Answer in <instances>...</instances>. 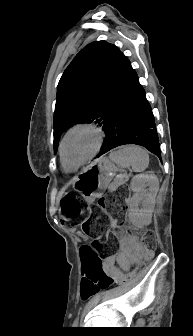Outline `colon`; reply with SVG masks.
<instances>
[{
	"instance_id": "1",
	"label": "colon",
	"mask_w": 193,
	"mask_h": 336,
	"mask_svg": "<svg viewBox=\"0 0 193 336\" xmlns=\"http://www.w3.org/2000/svg\"><path fill=\"white\" fill-rule=\"evenodd\" d=\"M62 213L67 226L80 224L84 234L93 236L91 246L82 253L83 269L86 273V283L96 289H106L115 283H127L131 277L116 278L108 275L103 268V260L114 252L118 246L116 235L109 231L110 225H115L122 217L125 207L117 200H107L100 197L92 207L84 204L76 194L67 193L61 201ZM81 218H83L82 221ZM145 257L154 255L157 242L155 234L147 231L142 236Z\"/></svg>"
}]
</instances>
